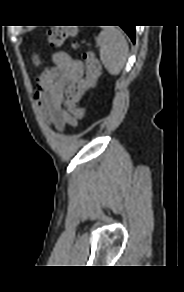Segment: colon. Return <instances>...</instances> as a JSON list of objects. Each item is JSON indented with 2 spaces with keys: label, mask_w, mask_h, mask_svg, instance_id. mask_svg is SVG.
<instances>
[{
  "label": "colon",
  "mask_w": 184,
  "mask_h": 292,
  "mask_svg": "<svg viewBox=\"0 0 184 292\" xmlns=\"http://www.w3.org/2000/svg\"><path fill=\"white\" fill-rule=\"evenodd\" d=\"M77 33V25L56 26L49 31L48 41L52 46H60L68 38L75 37ZM82 56L85 62V76L67 87L65 100L67 110L77 119L85 117L84 108L79 106L80 100L88 90L96 86L101 75V65L95 53L85 51Z\"/></svg>",
  "instance_id": "obj_1"
}]
</instances>
